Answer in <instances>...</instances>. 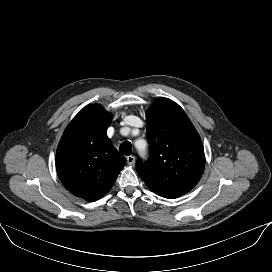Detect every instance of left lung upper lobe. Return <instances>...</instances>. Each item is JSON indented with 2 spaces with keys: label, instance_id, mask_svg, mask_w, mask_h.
I'll list each match as a JSON object with an SVG mask.
<instances>
[{
  "label": "left lung upper lobe",
  "instance_id": "1",
  "mask_svg": "<svg viewBox=\"0 0 272 272\" xmlns=\"http://www.w3.org/2000/svg\"><path fill=\"white\" fill-rule=\"evenodd\" d=\"M146 129L150 157L137 160L138 175L164 198L189 192L203 174L205 154L188 116L175 102L159 98L146 112Z\"/></svg>",
  "mask_w": 272,
  "mask_h": 272
}]
</instances>
